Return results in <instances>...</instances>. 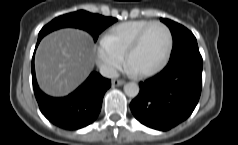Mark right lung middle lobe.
I'll list each match as a JSON object with an SVG mask.
<instances>
[{
	"instance_id": "dd1d6c3e",
	"label": "right lung middle lobe",
	"mask_w": 238,
	"mask_h": 145,
	"mask_svg": "<svg viewBox=\"0 0 238 145\" xmlns=\"http://www.w3.org/2000/svg\"><path fill=\"white\" fill-rule=\"evenodd\" d=\"M116 21V18L104 17L99 14L79 10L53 19L41 29L38 39H42L45 35L57 29L74 27L87 31L96 42L99 34Z\"/></svg>"
}]
</instances>
